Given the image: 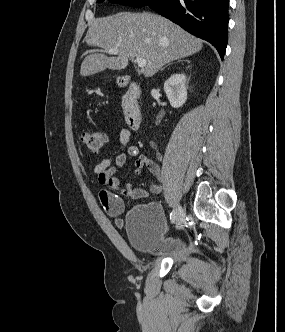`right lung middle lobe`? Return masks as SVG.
I'll return each mask as SVG.
<instances>
[{
	"mask_svg": "<svg viewBox=\"0 0 285 332\" xmlns=\"http://www.w3.org/2000/svg\"><path fill=\"white\" fill-rule=\"evenodd\" d=\"M104 0H98V2H102ZM113 3L122 4L125 6L132 7H142L150 4L153 0H110Z\"/></svg>",
	"mask_w": 285,
	"mask_h": 332,
	"instance_id": "right-lung-middle-lobe-1",
	"label": "right lung middle lobe"
}]
</instances>
